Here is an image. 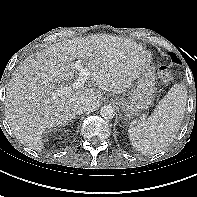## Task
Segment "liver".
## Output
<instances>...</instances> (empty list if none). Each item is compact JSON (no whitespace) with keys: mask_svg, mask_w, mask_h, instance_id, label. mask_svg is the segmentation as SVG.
Returning <instances> with one entry per match:
<instances>
[{"mask_svg":"<svg viewBox=\"0 0 197 197\" xmlns=\"http://www.w3.org/2000/svg\"><path fill=\"white\" fill-rule=\"evenodd\" d=\"M75 59L90 72L87 87L54 99L57 83L74 78ZM151 60V53L132 39L107 34L52 44L26 58L13 73L5 98L6 120L22 144L40 151L46 130L75 118L77 101L88 99L97 107L103 92H125Z\"/></svg>","mask_w":197,"mask_h":197,"instance_id":"1","label":"liver"}]
</instances>
